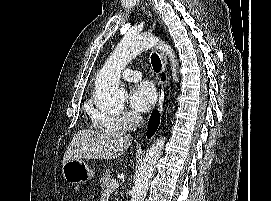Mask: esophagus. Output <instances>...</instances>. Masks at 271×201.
<instances>
[{"instance_id":"34e87169","label":"esophagus","mask_w":271,"mask_h":201,"mask_svg":"<svg viewBox=\"0 0 271 201\" xmlns=\"http://www.w3.org/2000/svg\"><path fill=\"white\" fill-rule=\"evenodd\" d=\"M160 59L162 63V68L164 70L167 65V56L164 52L160 53ZM157 109L160 114H162L164 111V88L162 84H159Z\"/></svg>"}]
</instances>
